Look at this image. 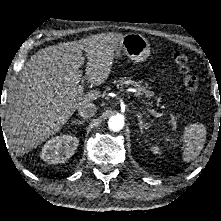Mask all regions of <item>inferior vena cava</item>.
<instances>
[{"label": "inferior vena cava", "instance_id": "1", "mask_svg": "<svg viewBox=\"0 0 221 221\" xmlns=\"http://www.w3.org/2000/svg\"><path fill=\"white\" fill-rule=\"evenodd\" d=\"M97 107L94 103L88 102L78 108V114L83 118H90L95 115Z\"/></svg>", "mask_w": 221, "mask_h": 221}]
</instances>
